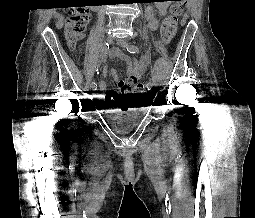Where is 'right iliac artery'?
<instances>
[{
    "instance_id": "obj_1",
    "label": "right iliac artery",
    "mask_w": 255,
    "mask_h": 218,
    "mask_svg": "<svg viewBox=\"0 0 255 218\" xmlns=\"http://www.w3.org/2000/svg\"><path fill=\"white\" fill-rule=\"evenodd\" d=\"M109 44L106 42L101 49V62H103L108 54ZM92 86H97L95 81H92Z\"/></svg>"
}]
</instances>
